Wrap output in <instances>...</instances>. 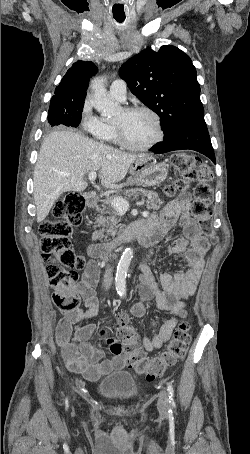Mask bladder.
I'll use <instances>...</instances> for the list:
<instances>
[{
    "mask_svg": "<svg viewBox=\"0 0 250 454\" xmlns=\"http://www.w3.org/2000/svg\"><path fill=\"white\" fill-rule=\"evenodd\" d=\"M97 392L109 401L125 403L135 398L138 385L131 373L120 371L100 380L97 384Z\"/></svg>",
    "mask_w": 250,
    "mask_h": 454,
    "instance_id": "31cf9c89",
    "label": "bladder"
}]
</instances>
